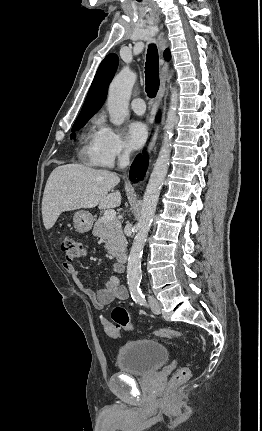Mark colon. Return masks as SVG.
<instances>
[{
    "mask_svg": "<svg viewBox=\"0 0 262 431\" xmlns=\"http://www.w3.org/2000/svg\"><path fill=\"white\" fill-rule=\"evenodd\" d=\"M61 250L64 254L65 264H73L81 257L85 255L84 243L74 237L66 236L60 241ZM113 323L106 319L102 320L104 332L111 338H117L120 334V330L133 331L134 326L131 321L129 311L122 306L116 307L112 312ZM157 336L164 338H177L183 339L192 343L191 337L182 331H178L171 328H160L154 332ZM191 376V371L187 367L179 369L171 378L172 385H180Z\"/></svg>",
    "mask_w": 262,
    "mask_h": 431,
    "instance_id": "5ec220e1",
    "label": "colon"
}]
</instances>
